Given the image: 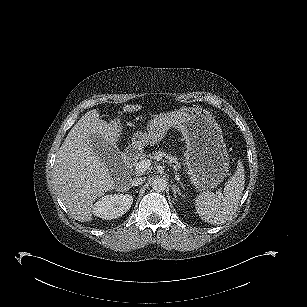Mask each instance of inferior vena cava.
<instances>
[{
	"instance_id": "obj_1",
	"label": "inferior vena cava",
	"mask_w": 307,
	"mask_h": 307,
	"mask_svg": "<svg viewBox=\"0 0 307 307\" xmlns=\"http://www.w3.org/2000/svg\"><path fill=\"white\" fill-rule=\"evenodd\" d=\"M144 182H145V178L136 177V178L131 179L130 185L131 186H139V185H142Z\"/></svg>"
}]
</instances>
